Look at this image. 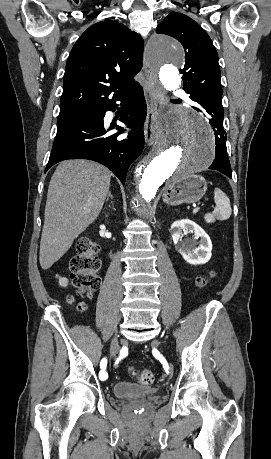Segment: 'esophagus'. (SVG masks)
Masks as SVG:
<instances>
[{"mask_svg":"<svg viewBox=\"0 0 271 459\" xmlns=\"http://www.w3.org/2000/svg\"><path fill=\"white\" fill-rule=\"evenodd\" d=\"M141 69H144L146 82L144 85V95L147 104V115L144 127L145 142L152 145L155 138L156 121L158 115L157 93L151 75L150 60H141Z\"/></svg>","mask_w":271,"mask_h":459,"instance_id":"esophagus-1","label":"esophagus"}]
</instances>
